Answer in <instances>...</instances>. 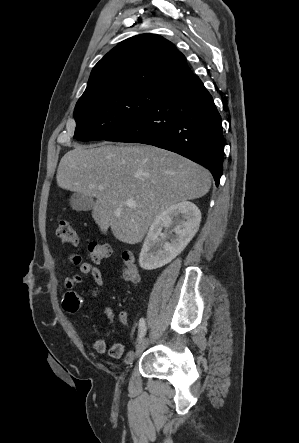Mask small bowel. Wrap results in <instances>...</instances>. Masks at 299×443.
<instances>
[{"label":"small bowel","mask_w":299,"mask_h":443,"mask_svg":"<svg viewBox=\"0 0 299 443\" xmlns=\"http://www.w3.org/2000/svg\"><path fill=\"white\" fill-rule=\"evenodd\" d=\"M67 261L79 265V273L65 279L64 285L67 289L65 297L63 299V309L67 312L74 313L80 309L82 298L79 293L74 291V288L82 283L83 277L90 275L96 284V288L92 290V296L96 297L99 294L100 289L103 287V275L101 271L89 262H82L81 257L78 255H70L67 257ZM106 316L109 320L113 319V312L110 309L106 310ZM119 318L122 322H126L129 318L128 312H121ZM93 349L98 354L108 353L113 358H121L125 355V347L122 343H113L108 346L102 339H97L93 342ZM126 360L129 361L132 358V354L126 355Z\"/></svg>","instance_id":"small-bowel-1"}]
</instances>
